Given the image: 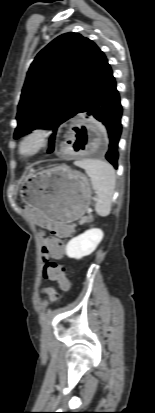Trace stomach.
Instances as JSON below:
<instances>
[{
	"label": "stomach",
	"instance_id": "obj_1",
	"mask_svg": "<svg viewBox=\"0 0 155 413\" xmlns=\"http://www.w3.org/2000/svg\"><path fill=\"white\" fill-rule=\"evenodd\" d=\"M21 197L34 205L52 222H71L82 218L91 203L88 178L65 165L31 172L21 183Z\"/></svg>",
	"mask_w": 155,
	"mask_h": 413
}]
</instances>
